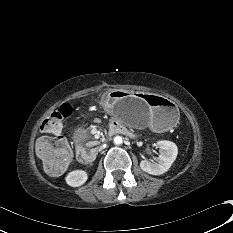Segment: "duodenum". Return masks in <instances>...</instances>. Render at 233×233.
<instances>
[{
	"label": "duodenum",
	"instance_id": "410a0bca",
	"mask_svg": "<svg viewBox=\"0 0 233 233\" xmlns=\"http://www.w3.org/2000/svg\"><path fill=\"white\" fill-rule=\"evenodd\" d=\"M121 134V135H131V133L122 125L118 123H112V125L109 128L108 136L107 138H111L114 135ZM97 151L91 150V151H85L83 148L78 147L77 148V157L78 160L81 163L88 164L93 162L96 159Z\"/></svg>",
	"mask_w": 233,
	"mask_h": 233
}]
</instances>
